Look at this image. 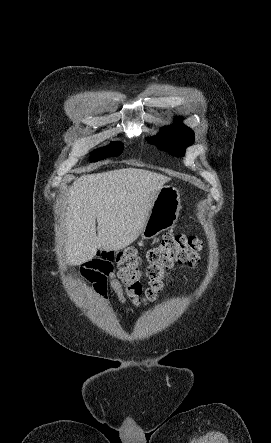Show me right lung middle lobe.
I'll return each mask as SVG.
<instances>
[{
  "mask_svg": "<svg viewBox=\"0 0 271 443\" xmlns=\"http://www.w3.org/2000/svg\"><path fill=\"white\" fill-rule=\"evenodd\" d=\"M122 151L123 144L121 142H112L109 146L92 152L90 161L96 162L107 157H115L118 156Z\"/></svg>",
  "mask_w": 271,
  "mask_h": 443,
  "instance_id": "1",
  "label": "right lung middle lobe"
}]
</instances>
